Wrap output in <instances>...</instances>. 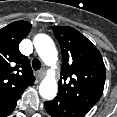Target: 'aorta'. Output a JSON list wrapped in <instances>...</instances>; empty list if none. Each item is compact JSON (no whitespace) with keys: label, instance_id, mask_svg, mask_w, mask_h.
Here are the masks:
<instances>
[{"label":"aorta","instance_id":"aorta-1","mask_svg":"<svg viewBox=\"0 0 117 117\" xmlns=\"http://www.w3.org/2000/svg\"><path fill=\"white\" fill-rule=\"evenodd\" d=\"M35 49L42 61L54 68L58 60V52L53 40L46 34H37L33 40ZM58 91L57 81L53 72L45 77L39 85V94L46 100L55 98Z\"/></svg>","mask_w":117,"mask_h":117}]
</instances>
